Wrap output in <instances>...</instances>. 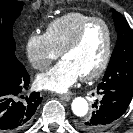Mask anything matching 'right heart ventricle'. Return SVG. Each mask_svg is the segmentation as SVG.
<instances>
[{
  "mask_svg": "<svg viewBox=\"0 0 133 133\" xmlns=\"http://www.w3.org/2000/svg\"><path fill=\"white\" fill-rule=\"evenodd\" d=\"M92 18L82 12H69L51 21L46 28V36L53 47L61 52L80 26Z\"/></svg>",
  "mask_w": 133,
  "mask_h": 133,
  "instance_id": "1",
  "label": "right heart ventricle"
}]
</instances>
